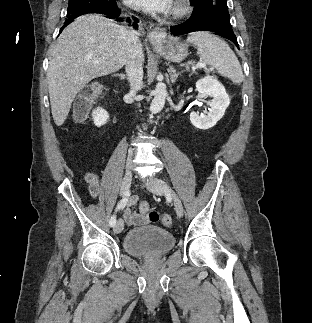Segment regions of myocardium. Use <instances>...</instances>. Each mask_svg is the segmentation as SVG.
<instances>
[{
    "mask_svg": "<svg viewBox=\"0 0 312 323\" xmlns=\"http://www.w3.org/2000/svg\"><path fill=\"white\" fill-rule=\"evenodd\" d=\"M169 8L171 13H174L176 21L186 19L190 15L189 0H174V3H170Z\"/></svg>",
    "mask_w": 312,
    "mask_h": 323,
    "instance_id": "obj_1",
    "label": "myocardium"
}]
</instances>
